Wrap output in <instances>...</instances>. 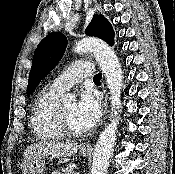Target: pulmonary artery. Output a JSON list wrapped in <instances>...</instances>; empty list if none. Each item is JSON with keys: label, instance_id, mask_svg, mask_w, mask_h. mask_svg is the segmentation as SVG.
<instances>
[{"label": "pulmonary artery", "instance_id": "pulmonary-artery-1", "mask_svg": "<svg viewBox=\"0 0 175 174\" xmlns=\"http://www.w3.org/2000/svg\"><path fill=\"white\" fill-rule=\"evenodd\" d=\"M94 74L93 65L88 61H79L71 65L63 74L55 78L49 88L55 92L62 93L85 77Z\"/></svg>", "mask_w": 175, "mask_h": 174}]
</instances>
